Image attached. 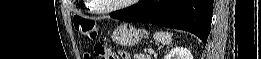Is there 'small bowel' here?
<instances>
[{"label":"small bowel","mask_w":261,"mask_h":59,"mask_svg":"<svg viewBox=\"0 0 261 59\" xmlns=\"http://www.w3.org/2000/svg\"><path fill=\"white\" fill-rule=\"evenodd\" d=\"M120 58L122 59H130V56L127 52L125 51H120Z\"/></svg>","instance_id":"obj_1"}]
</instances>
